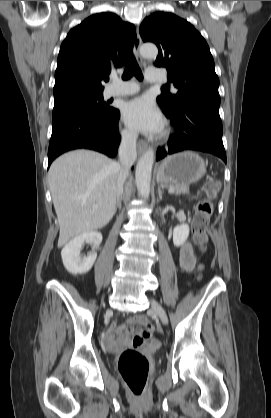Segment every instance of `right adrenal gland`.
Masks as SVG:
<instances>
[{
    "label": "right adrenal gland",
    "instance_id": "obj_1",
    "mask_svg": "<svg viewBox=\"0 0 271 418\" xmlns=\"http://www.w3.org/2000/svg\"><path fill=\"white\" fill-rule=\"evenodd\" d=\"M121 202H122V197L121 196H118L117 197V203H116L115 212L117 211V208L121 209Z\"/></svg>",
    "mask_w": 271,
    "mask_h": 418
}]
</instances>
